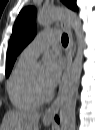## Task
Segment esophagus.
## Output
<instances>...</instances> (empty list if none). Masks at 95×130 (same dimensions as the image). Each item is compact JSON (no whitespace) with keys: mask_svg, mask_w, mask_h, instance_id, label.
<instances>
[{"mask_svg":"<svg viewBox=\"0 0 95 130\" xmlns=\"http://www.w3.org/2000/svg\"><path fill=\"white\" fill-rule=\"evenodd\" d=\"M61 27L66 31L68 35V46L65 50V55H66V67L64 70V76L68 73L69 69L71 68L72 65V59L74 55V40H73V35H72V30L71 26L67 21L62 20L61 21ZM60 102H61V89L59 90V93L56 97V99L52 102V104L47 108L43 115V119L45 121H53L55 115L59 111L60 107Z\"/></svg>","mask_w":95,"mask_h":130,"instance_id":"34e87169","label":"esophagus"}]
</instances>
